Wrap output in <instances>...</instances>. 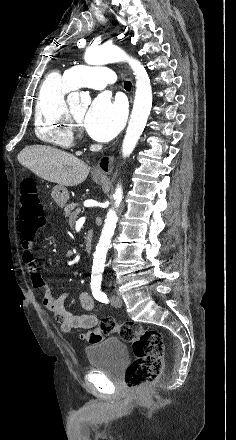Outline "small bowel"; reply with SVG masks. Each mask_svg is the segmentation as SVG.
Instances as JSON below:
<instances>
[{
  "instance_id": "c3829d8e",
  "label": "small bowel",
  "mask_w": 236,
  "mask_h": 440,
  "mask_svg": "<svg viewBox=\"0 0 236 440\" xmlns=\"http://www.w3.org/2000/svg\"><path fill=\"white\" fill-rule=\"evenodd\" d=\"M23 260L28 266L30 278L33 286L42 292L44 306L52 311L59 323L60 331L64 335L80 336L82 339H102L105 336L102 327L98 323V316L93 313L94 302L86 291H82L79 296L80 304L86 314L74 315L65 307L68 298L67 293H62L57 297L51 295L42 275L39 271L33 243L31 240H22Z\"/></svg>"
}]
</instances>
